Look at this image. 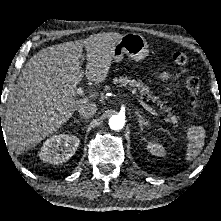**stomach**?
I'll return each mask as SVG.
<instances>
[{"instance_id":"stomach-1","label":"stomach","mask_w":221,"mask_h":221,"mask_svg":"<svg viewBox=\"0 0 221 221\" xmlns=\"http://www.w3.org/2000/svg\"><path fill=\"white\" fill-rule=\"evenodd\" d=\"M149 54V45L140 34L127 33L122 35L113 49V60L119 63L124 55L133 60L139 61Z\"/></svg>"}]
</instances>
